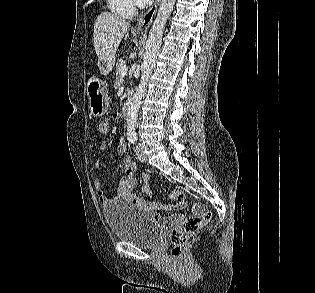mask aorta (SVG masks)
Masks as SVG:
<instances>
[{"label":"aorta","mask_w":315,"mask_h":293,"mask_svg":"<svg viewBox=\"0 0 315 293\" xmlns=\"http://www.w3.org/2000/svg\"><path fill=\"white\" fill-rule=\"evenodd\" d=\"M174 4L175 0H161L157 16L150 29L146 43V51L141 66V80L128 110L127 129L129 132L135 130L141 100L144 96L157 53L162 43L163 31L166 22L173 10Z\"/></svg>","instance_id":"762f6f07"}]
</instances>
